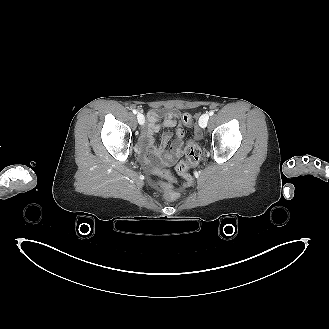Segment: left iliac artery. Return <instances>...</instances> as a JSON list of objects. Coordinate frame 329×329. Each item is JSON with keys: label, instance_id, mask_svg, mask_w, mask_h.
Here are the masks:
<instances>
[{"label": "left iliac artery", "instance_id": "obj_1", "mask_svg": "<svg viewBox=\"0 0 329 329\" xmlns=\"http://www.w3.org/2000/svg\"><path fill=\"white\" fill-rule=\"evenodd\" d=\"M213 114H214V111L213 110L209 112V115L210 116H212Z\"/></svg>", "mask_w": 329, "mask_h": 329}]
</instances>
